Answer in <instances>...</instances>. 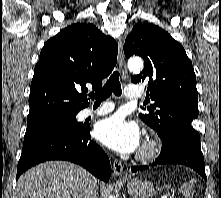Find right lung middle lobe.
<instances>
[{
  "label": "right lung middle lobe",
  "mask_w": 221,
  "mask_h": 198,
  "mask_svg": "<svg viewBox=\"0 0 221 198\" xmlns=\"http://www.w3.org/2000/svg\"><path fill=\"white\" fill-rule=\"evenodd\" d=\"M77 113L55 114L27 123L24 143L53 132H75L84 127L76 122Z\"/></svg>",
  "instance_id": "right-lung-middle-lobe-1"
}]
</instances>
